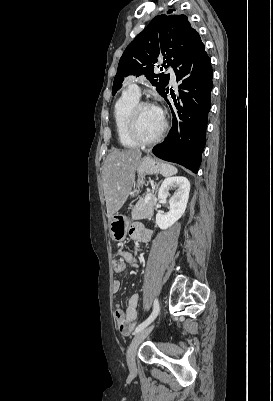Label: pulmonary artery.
<instances>
[{
    "label": "pulmonary artery",
    "instance_id": "e3ab8cb5",
    "mask_svg": "<svg viewBox=\"0 0 273 401\" xmlns=\"http://www.w3.org/2000/svg\"><path fill=\"white\" fill-rule=\"evenodd\" d=\"M169 69L171 71H175L177 69V66L175 64H171L169 66ZM170 82L175 85L176 83V76H170ZM141 83L138 80H133L131 81L130 85L125 86L124 91L127 94H132L135 97L140 98L141 97V90H140Z\"/></svg>",
    "mask_w": 273,
    "mask_h": 401
}]
</instances>
